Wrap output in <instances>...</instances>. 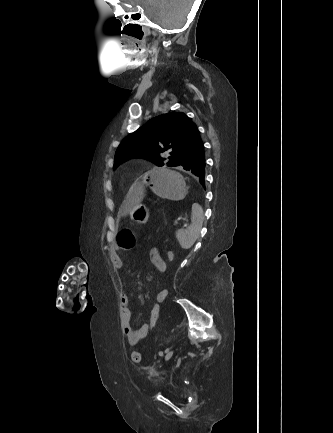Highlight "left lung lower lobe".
<instances>
[{"instance_id":"left-lung-lower-lobe-1","label":"left lung lower lobe","mask_w":333,"mask_h":433,"mask_svg":"<svg viewBox=\"0 0 333 433\" xmlns=\"http://www.w3.org/2000/svg\"><path fill=\"white\" fill-rule=\"evenodd\" d=\"M205 166V151L203 141H201L177 163L176 167L195 175L200 180V183L204 185Z\"/></svg>"}]
</instances>
